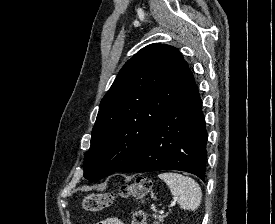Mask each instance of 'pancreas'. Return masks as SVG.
Returning a JSON list of instances; mask_svg holds the SVG:
<instances>
[{"mask_svg":"<svg viewBox=\"0 0 275 224\" xmlns=\"http://www.w3.org/2000/svg\"><path fill=\"white\" fill-rule=\"evenodd\" d=\"M154 218H155V220H156V221L154 222V224H160V222L163 221L164 216H161V215H159V216L154 215Z\"/></svg>","mask_w":275,"mask_h":224,"instance_id":"1","label":"pancreas"}]
</instances>
